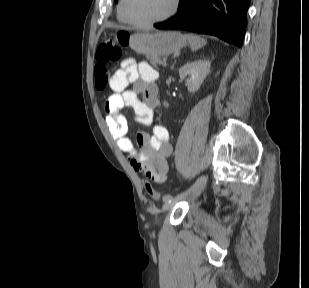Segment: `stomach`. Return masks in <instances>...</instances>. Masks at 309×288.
Returning a JSON list of instances; mask_svg holds the SVG:
<instances>
[{"instance_id": "stomach-1", "label": "stomach", "mask_w": 309, "mask_h": 288, "mask_svg": "<svg viewBox=\"0 0 309 288\" xmlns=\"http://www.w3.org/2000/svg\"><path fill=\"white\" fill-rule=\"evenodd\" d=\"M130 47L148 57L169 55L186 45V38L176 31L135 33L130 36Z\"/></svg>"}]
</instances>
